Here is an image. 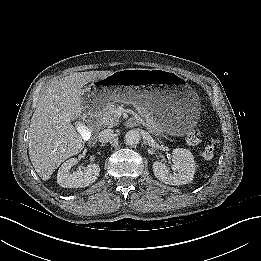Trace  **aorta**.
Returning <instances> with one entry per match:
<instances>
[{"label": "aorta", "mask_w": 261, "mask_h": 261, "mask_svg": "<svg viewBox=\"0 0 261 261\" xmlns=\"http://www.w3.org/2000/svg\"><path fill=\"white\" fill-rule=\"evenodd\" d=\"M141 140V135L140 132L137 129H132L129 130L126 134H125V144L129 145V146H134L136 144H138Z\"/></svg>", "instance_id": "aorta-1"}]
</instances>
